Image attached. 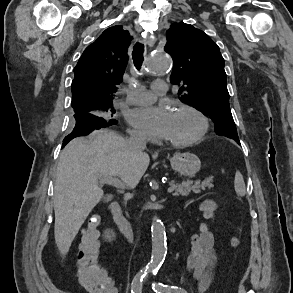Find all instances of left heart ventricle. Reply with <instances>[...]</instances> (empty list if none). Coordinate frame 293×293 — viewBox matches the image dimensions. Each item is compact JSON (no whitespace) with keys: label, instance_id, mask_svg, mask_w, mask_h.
I'll use <instances>...</instances> for the list:
<instances>
[{"label":"left heart ventricle","instance_id":"left-heart-ventricle-1","mask_svg":"<svg viewBox=\"0 0 293 293\" xmlns=\"http://www.w3.org/2000/svg\"><path fill=\"white\" fill-rule=\"evenodd\" d=\"M199 128V120L193 114L175 111L172 113L166 140L183 141L190 139L198 133Z\"/></svg>","mask_w":293,"mask_h":293}]
</instances>
